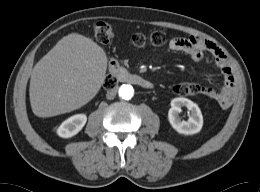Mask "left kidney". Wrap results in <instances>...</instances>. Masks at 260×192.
<instances>
[{"label": "left kidney", "instance_id": "1", "mask_svg": "<svg viewBox=\"0 0 260 192\" xmlns=\"http://www.w3.org/2000/svg\"><path fill=\"white\" fill-rule=\"evenodd\" d=\"M168 111V120L174 130L180 134L192 135L200 132L203 126V116L198 105L191 100L183 97L174 98ZM186 107L190 111L187 121L179 118L181 108Z\"/></svg>", "mask_w": 260, "mask_h": 192}]
</instances>
